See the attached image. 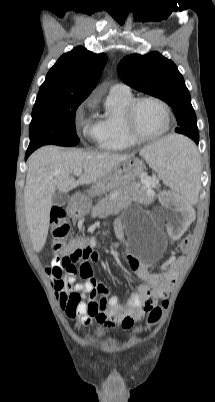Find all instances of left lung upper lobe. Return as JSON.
<instances>
[{"mask_svg":"<svg viewBox=\"0 0 215 402\" xmlns=\"http://www.w3.org/2000/svg\"><path fill=\"white\" fill-rule=\"evenodd\" d=\"M117 72L127 85L168 103L175 112L176 132L196 143L199 133L190 93L176 65L158 52L146 55L133 54L118 64Z\"/></svg>","mask_w":215,"mask_h":402,"instance_id":"left-lung-upper-lobe-1","label":"left lung upper lobe"}]
</instances>
